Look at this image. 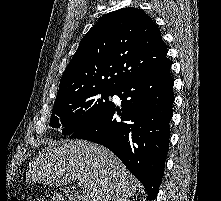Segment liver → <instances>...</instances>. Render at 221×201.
Wrapping results in <instances>:
<instances>
[{
  "label": "liver",
  "mask_w": 221,
  "mask_h": 201,
  "mask_svg": "<svg viewBox=\"0 0 221 201\" xmlns=\"http://www.w3.org/2000/svg\"><path fill=\"white\" fill-rule=\"evenodd\" d=\"M46 143L29 163L27 182L66 185L78 180L82 201H115L138 190V180L107 148L83 140Z\"/></svg>",
  "instance_id": "1"
}]
</instances>
